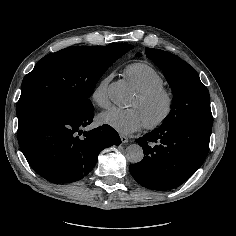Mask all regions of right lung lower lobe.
<instances>
[{"label": "right lung lower lobe", "instance_id": "1", "mask_svg": "<svg viewBox=\"0 0 236 236\" xmlns=\"http://www.w3.org/2000/svg\"><path fill=\"white\" fill-rule=\"evenodd\" d=\"M93 117V110L81 114L51 112L19 126V146L30 166L57 184L87 175L104 148L121 143L118 133L107 124L84 131Z\"/></svg>", "mask_w": 236, "mask_h": 236}]
</instances>
